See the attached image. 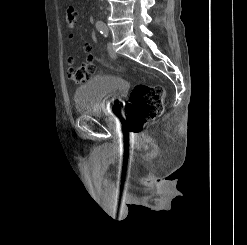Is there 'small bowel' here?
<instances>
[{"label":"small bowel","mask_w":247,"mask_h":245,"mask_svg":"<svg viewBox=\"0 0 247 245\" xmlns=\"http://www.w3.org/2000/svg\"><path fill=\"white\" fill-rule=\"evenodd\" d=\"M75 20H76V13H75L74 9L68 8L67 9V22H68L69 27L72 28L74 26Z\"/></svg>","instance_id":"small-bowel-1"}]
</instances>
